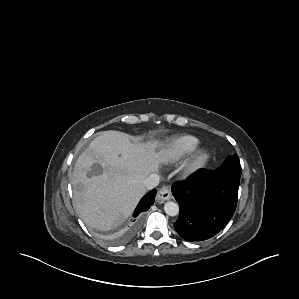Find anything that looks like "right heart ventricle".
<instances>
[{
  "instance_id": "obj_1",
  "label": "right heart ventricle",
  "mask_w": 299,
  "mask_h": 299,
  "mask_svg": "<svg viewBox=\"0 0 299 299\" xmlns=\"http://www.w3.org/2000/svg\"><path fill=\"white\" fill-rule=\"evenodd\" d=\"M199 146V140L190 135H183L171 139L164 150V158L170 162H177L191 155Z\"/></svg>"
}]
</instances>
